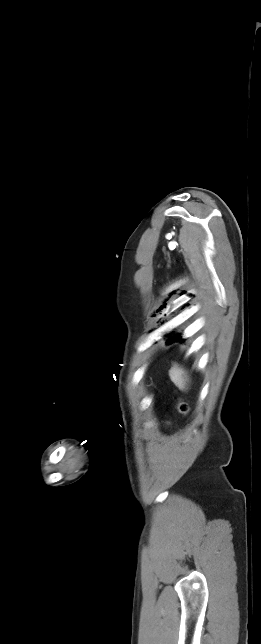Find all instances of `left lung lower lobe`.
<instances>
[{
    "label": "left lung lower lobe",
    "instance_id": "left-lung-lower-lobe-1",
    "mask_svg": "<svg viewBox=\"0 0 261 644\" xmlns=\"http://www.w3.org/2000/svg\"><path fill=\"white\" fill-rule=\"evenodd\" d=\"M175 341H184V340L182 339V337H181V335H180V334H177L176 336H174V337L170 338V339L168 340V343H169V344H171V343H173V342H175Z\"/></svg>",
    "mask_w": 261,
    "mask_h": 644
}]
</instances>
